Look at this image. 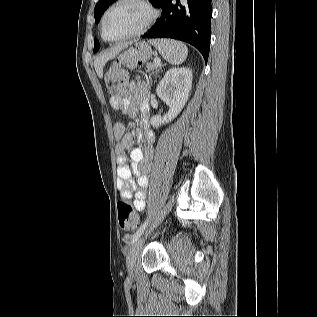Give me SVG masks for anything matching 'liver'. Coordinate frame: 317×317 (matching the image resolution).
Here are the masks:
<instances>
[{"mask_svg": "<svg viewBox=\"0 0 317 317\" xmlns=\"http://www.w3.org/2000/svg\"><path fill=\"white\" fill-rule=\"evenodd\" d=\"M127 46L128 43L117 45L109 51L102 53L94 60L95 71L99 78L103 77V68L107 61L113 59L122 49L126 48Z\"/></svg>", "mask_w": 317, "mask_h": 317, "instance_id": "liver-1", "label": "liver"}]
</instances>
